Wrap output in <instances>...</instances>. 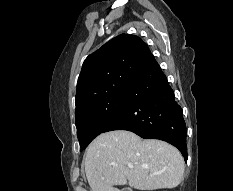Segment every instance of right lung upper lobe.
<instances>
[{
    "mask_svg": "<svg viewBox=\"0 0 233 191\" xmlns=\"http://www.w3.org/2000/svg\"><path fill=\"white\" fill-rule=\"evenodd\" d=\"M153 57L138 36L121 34L89 55L77 82L76 112L108 97L126 93Z\"/></svg>",
    "mask_w": 233,
    "mask_h": 191,
    "instance_id": "1",
    "label": "right lung upper lobe"
}]
</instances>
